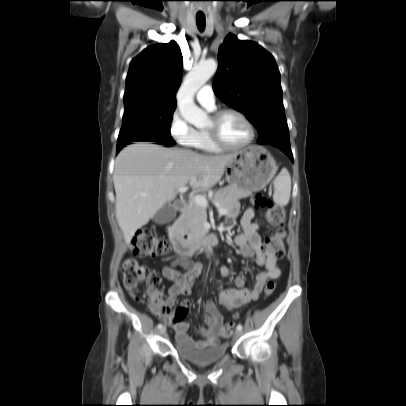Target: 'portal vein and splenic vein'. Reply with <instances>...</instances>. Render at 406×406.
Masks as SVG:
<instances>
[{
	"label": "portal vein and splenic vein",
	"instance_id": "portal-vein-and-splenic-vein-1",
	"mask_svg": "<svg viewBox=\"0 0 406 406\" xmlns=\"http://www.w3.org/2000/svg\"><path fill=\"white\" fill-rule=\"evenodd\" d=\"M177 190H178L179 192L183 193V192H186V191L188 190V187H187V186H181V187H178ZM193 201H194L196 204H198V205H200V206H202V207H205V208H206V207L208 206L207 199H206L204 196L196 195V196L193 197ZM215 205H216V207L218 208V212H219L220 214H226V213H227V210L221 208L219 204L215 203Z\"/></svg>",
	"mask_w": 406,
	"mask_h": 406
}]
</instances>
